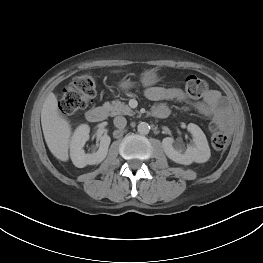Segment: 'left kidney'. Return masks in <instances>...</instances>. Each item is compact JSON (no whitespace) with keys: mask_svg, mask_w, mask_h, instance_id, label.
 Returning a JSON list of instances; mask_svg holds the SVG:
<instances>
[{"mask_svg":"<svg viewBox=\"0 0 263 263\" xmlns=\"http://www.w3.org/2000/svg\"><path fill=\"white\" fill-rule=\"evenodd\" d=\"M187 129L193 136L194 144L182 152V150L173 147V138L166 137L162 141L165 154L172 161L183 165L206 162L210 157V148L205 134L199 126L193 123L188 124Z\"/></svg>","mask_w":263,"mask_h":263,"instance_id":"1","label":"left kidney"}]
</instances>
